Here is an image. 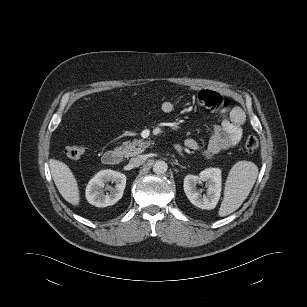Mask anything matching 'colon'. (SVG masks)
<instances>
[{"label": "colon", "mask_w": 307, "mask_h": 307, "mask_svg": "<svg viewBox=\"0 0 307 307\" xmlns=\"http://www.w3.org/2000/svg\"><path fill=\"white\" fill-rule=\"evenodd\" d=\"M244 145L245 149L251 153L258 148L259 142L255 136L250 135L246 138ZM64 153L69 159L78 160L84 153V149L81 146L70 145L64 148Z\"/></svg>", "instance_id": "obj_1"}]
</instances>
